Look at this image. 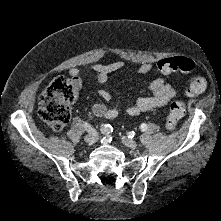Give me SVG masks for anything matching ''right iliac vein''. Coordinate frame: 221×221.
<instances>
[{
    "label": "right iliac vein",
    "instance_id": "right-iliac-vein-1",
    "mask_svg": "<svg viewBox=\"0 0 221 221\" xmlns=\"http://www.w3.org/2000/svg\"><path fill=\"white\" fill-rule=\"evenodd\" d=\"M97 139H98L97 136L94 134H87L84 136V140L88 144H93L94 142L97 141Z\"/></svg>",
    "mask_w": 221,
    "mask_h": 221
}]
</instances>
